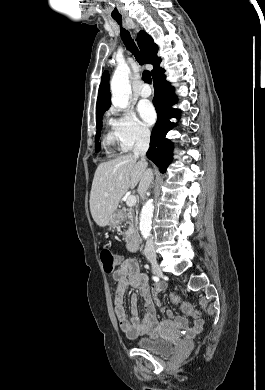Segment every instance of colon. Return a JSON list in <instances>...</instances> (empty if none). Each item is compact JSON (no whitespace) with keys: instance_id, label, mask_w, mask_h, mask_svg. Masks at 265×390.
Segmentation results:
<instances>
[{"instance_id":"colon-1","label":"colon","mask_w":265,"mask_h":390,"mask_svg":"<svg viewBox=\"0 0 265 390\" xmlns=\"http://www.w3.org/2000/svg\"><path fill=\"white\" fill-rule=\"evenodd\" d=\"M100 260L106 273H112L114 271L117 264V258L109 249L102 248L100 250ZM170 300L172 303L179 305L184 314L196 318L199 316V312L194 306L191 303L184 301L179 295L172 293L170 295Z\"/></svg>"}]
</instances>
